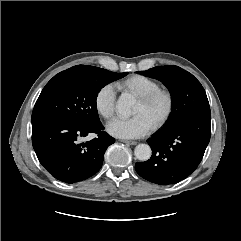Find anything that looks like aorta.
<instances>
[{"mask_svg": "<svg viewBox=\"0 0 241 241\" xmlns=\"http://www.w3.org/2000/svg\"><path fill=\"white\" fill-rule=\"evenodd\" d=\"M135 101L128 95H121L117 101V112L125 117H128L132 113ZM152 150L148 144H139L135 147L134 155L140 161H147L150 159Z\"/></svg>", "mask_w": 241, "mask_h": 241, "instance_id": "aorta-1", "label": "aorta"}]
</instances>
